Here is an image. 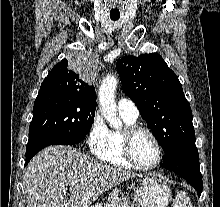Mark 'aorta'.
<instances>
[{"mask_svg":"<svg viewBox=\"0 0 220 207\" xmlns=\"http://www.w3.org/2000/svg\"><path fill=\"white\" fill-rule=\"evenodd\" d=\"M117 87V78L115 75L106 76L99 87V108L100 112L110 127L121 128L122 122L117 117V106L115 101V91Z\"/></svg>","mask_w":220,"mask_h":207,"instance_id":"aorta-1","label":"aorta"}]
</instances>
